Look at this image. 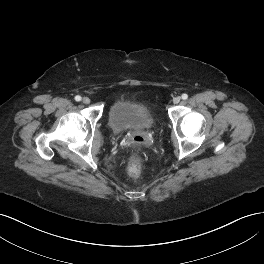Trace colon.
Instances as JSON below:
<instances>
[{
	"label": "colon",
	"instance_id": "5ec220e1",
	"mask_svg": "<svg viewBox=\"0 0 264 264\" xmlns=\"http://www.w3.org/2000/svg\"><path fill=\"white\" fill-rule=\"evenodd\" d=\"M142 171V166L139 160L134 159L128 166V173L132 177H139Z\"/></svg>",
	"mask_w": 264,
	"mask_h": 264
}]
</instances>
